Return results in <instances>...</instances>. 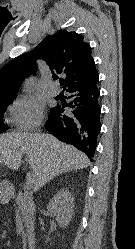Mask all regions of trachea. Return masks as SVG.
I'll return each mask as SVG.
<instances>
[{
	"mask_svg": "<svg viewBox=\"0 0 135 249\" xmlns=\"http://www.w3.org/2000/svg\"><path fill=\"white\" fill-rule=\"evenodd\" d=\"M63 83H64V80H61V81H60V84H63Z\"/></svg>",
	"mask_w": 135,
	"mask_h": 249,
	"instance_id": "trachea-1",
	"label": "trachea"
}]
</instances>
